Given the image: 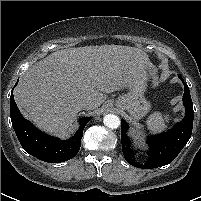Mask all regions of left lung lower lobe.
Segmentation results:
<instances>
[{
  "mask_svg": "<svg viewBox=\"0 0 201 201\" xmlns=\"http://www.w3.org/2000/svg\"><path fill=\"white\" fill-rule=\"evenodd\" d=\"M178 76L182 80L185 88L183 94V104L186 109L185 116L181 122H178L172 129L168 130L167 132L148 138V159L144 162V164L135 160V152L131 149V141L126 134L129 126L122 119V151L124 158L132 166L143 169H151L167 165L177 157V155L189 141L192 133L194 119L193 102L191 100L188 86L185 84L183 78L180 75Z\"/></svg>",
  "mask_w": 201,
  "mask_h": 201,
  "instance_id": "1",
  "label": "left lung lower lobe"
}]
</instances>
